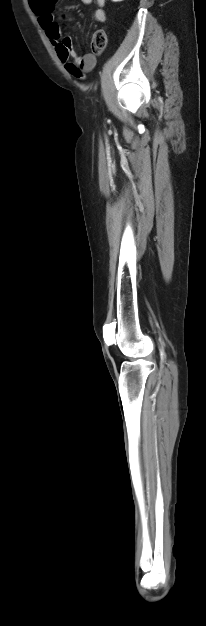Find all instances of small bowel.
Wrapping results in <instances>:
<instances>
[{"label": "small bowel", "instance_id": "obj_1", "mask_svg": "<svg viewBox=\"0 0 206 626\" xmlns=\"http://www.w3.org/2000/svg\"><path fill=\"white\" fill-rule=\"evenodd\" d=\"M84 4L96 3L97 9L94 18L98 22L106 21L105 5L107 0H81ZM31 8L38 16V21L45 34L49 38L56 54L64 65L66 71L71 75L82 79L84 73L91 71L96 63V58L92 54L79 55L75 52L72 40L69 36L61 33L59 23L55 20L53 7L54 0H29Z\"/></svg>", "mask_w": 206, "mask_h": 626}]
</instances>
